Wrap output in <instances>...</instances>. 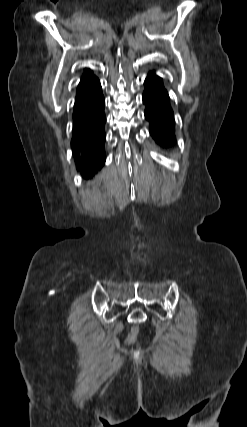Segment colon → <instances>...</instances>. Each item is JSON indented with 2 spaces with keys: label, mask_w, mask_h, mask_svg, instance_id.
Here are the masks:
<instances>
[{
  "label": "colon",
  "mask_w": 247,
  "mask_h": 427,
  "mask_svg": "<svg viewBox=\"0 0 247 427\" xmlns=\"http://www.w3.org/2000/svg\"><path fill=\"white\" fill-rule=\"evenodd\" d=\"M137 328H133L132 329V333H131V336H130V338H129V341H132L133 340V338H134V336L136 335V333H137Z\"/></svg>",
  "instance_id": "5ec220e1"
}]
</instances>
